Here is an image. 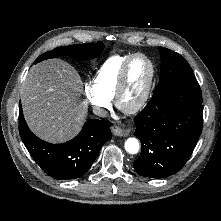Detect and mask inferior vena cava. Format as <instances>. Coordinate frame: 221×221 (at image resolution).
I'll return each mask as SVG.
<instances>
[{
    "label": "inferior vena cava",
    "instance_id": "1",
    "mask_svg": "<svg viewBox=\"0 0 221 221\" xmlns=\"http://www.w3.org/2000/svg\"><path fill=\"white\" fill-rule=\"evenodd\" d=\"M93 112L95 115L100 116V117L107 116V111L103 108H100V107H94Z\"/></svg>",
    "mask_w": 221,
    "mask_h": 221
}]
</instances>
